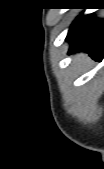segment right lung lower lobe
Returning <instances> with one entry per match:
<instances>
[{
    "label": "right lung lower lobe",
    "mask_w": 104,
    "mask_h": 169,
    "mask_svg": "<svg viewBox=\"0 0 104 169\" xmlns=\"http://www.w3.org/2000/svg\"><path fill=\"white\" fill-rule=\"evenodd\" d=\"M66 40L71 43L69 54L84 50L100 61L104 56L103 20H96L92 14L80 15L71 25Z\"/></svg>",
    "instance_id": "obj_1"
}]
</instances>
